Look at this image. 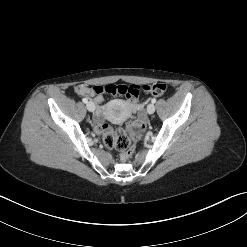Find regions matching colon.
<instances>
[{
  "instance_id": "1",
  "label": "colon",
  "mask_w": 247,
  "mask_h": 247,
  "mask_svg": "<svg viewBox=\"0 0 247 247\" xmlns=\"http://www.w3.org/2000/svg\"><path fill=\"white\" fill-rule=\"evenodd\" d=\"M140 91L160 97L166 93L167 86L163 83L141 87L138 85L108 84L93 88V93L97 95L108 93L124 96L133 106H137L140 103L138 99ZM100 131L102 133L103 144L109 149L117 150L121 157L126 160L132 154L135 144L142 139L145 132V124L142 120L135 119L129 122L124 129L114 131L109 125L103 124L100 127Z\"/></svg>"
}]
</instances>
